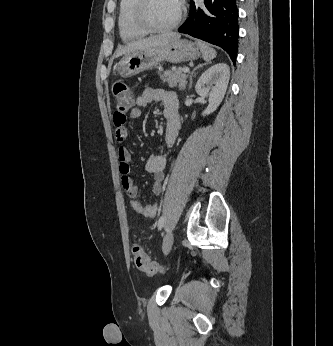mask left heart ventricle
<instances>
[{
    "label": "left heart ventricle",
    "instance_id": "b2bd125f",
    "mask_svg": "<svg viewBox=\"0 0 333 346\" xmlns=\"http://www.w3.org/2000/svg\"><path fill=\"white\" fill-rule=\"evenodd\" d=\"M178 10V0H150L148 17L156 26H165L175 17Z\"/></svg>",
    "mask_w": 333,
    "mask_h": 346
}]
</instances>
